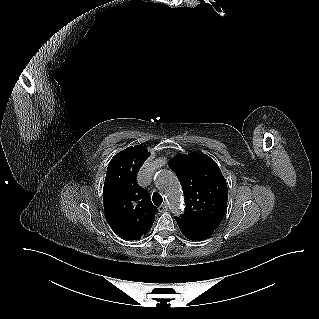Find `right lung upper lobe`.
I'll list each match as a JSON object with an SVG mask.
<instances>
[{
	"label": "right lung upper lobe",
	"mask_w": 319,
	"mask_h": 319,
	"mask_svg": "<svg viewBox=\"0 0 319 319\" xmlns=\"http://www.w3.org/2000/svg\"><path fill=\"white\" fill-rule=\"evenodd\" d=\"M144 146L128 147L109 163L103 188V205L111 228L123 239L138 240L153 225L157 208L146 189L137 184V173L148 158Z\"/></svg>",
	"instance_id": "cb5924a9"
}]
</instances>
